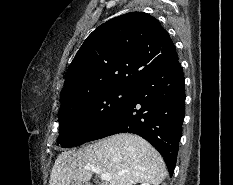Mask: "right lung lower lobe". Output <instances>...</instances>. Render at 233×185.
Masks as SVG:
<instances>
[{
  "label": "right lung lower lobe",
  "instance_id": "obj_1",
  "mask_svg": "<svg viewBox=\"0 0 233 185\" xmlns=\"http://www.w3.org/2000/svg\"><path fill=\"white\" fill-rule=\"evenodd\" d=\"M185 80L179 59L141 77L128 88L123 104L87 139L131 132L163 156L172 176L182 136Z\"/></svg>",
  "mask_w": 233,
  "mask_h": 185
}]
</instances>
